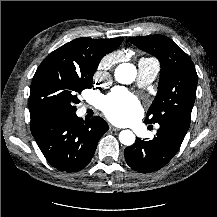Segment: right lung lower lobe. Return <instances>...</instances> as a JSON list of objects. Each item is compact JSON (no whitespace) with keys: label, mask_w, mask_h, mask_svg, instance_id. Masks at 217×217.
<instances>
[{"label":"right lung lower lobe","mask_w":217,"mask_h":217,"mask_svg":"<svg viewBox=\"0 0 217 217\" xmlns=\"http://www.w3.org/2000/svg\"><path fill=\"white\" fill-rule=\"evenodd\" d=\"M31 133L56 169L77 172L91 161L101 136L109 129L99 116L83 121L74 114H52L30 122Z\"/></svg>","instance_id":"98d812e1"}]
</instances>
